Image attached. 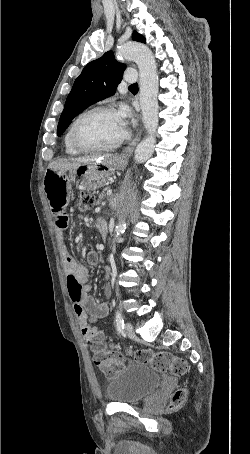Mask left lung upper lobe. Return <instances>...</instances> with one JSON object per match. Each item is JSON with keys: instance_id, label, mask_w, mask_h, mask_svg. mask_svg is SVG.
I'll list each match as a JSON object with an SVG mask.
<instances>
[{"instance_id": "left-lung-upper-lobe-1", "label": "left lung upper lobe", "mask_w": 250, "mask_h": 454, "mask_svg": "<svg viewBox=\"0 0 250 454\" xmlns=\"http://www.w3.org/2000/svg\"><path fill=\"white\" fill-rule=\"evenodd\" d=\"M132 39L142 43L146 42L145 38L135 31ZM124 70L125 65L115 60L112 51L106 52L99 59L88 63L75 80L66 99L58 123V136L66 130L72 119L88 106L113 95L122 79Z\"/></svg>"}]
</instances>
